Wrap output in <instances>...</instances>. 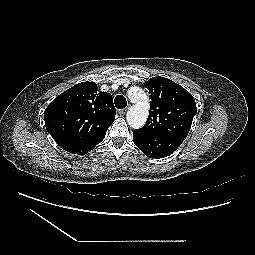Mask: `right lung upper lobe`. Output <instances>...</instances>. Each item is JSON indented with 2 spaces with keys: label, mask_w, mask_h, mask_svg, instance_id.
<instances>
[{
  "label": "right lung upper lobe",
  "mask_w": 255,
  "mask_h": 255,
  "mask_svg": "<svg viewBox=\"0 0 255 255\" xmlns=\"http://www.w3.org/2000/svg\"><path fill=\"white\" fill-rule=\"evenodd\" d=\"M94 82L79 83L57 96L44 112L45 126L65 151L86 154L100 143L114 121L110 93Z\"/></svg>",
  "instance_id": "cb5924a9"
}]
</instances>
